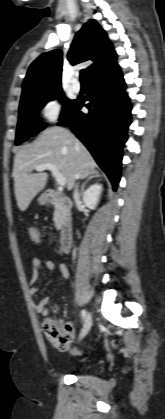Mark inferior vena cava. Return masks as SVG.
Segmentation results:
<instances>
[{
  "label": "inferior vena cava",
  "mask_w": 165,
  "mask_h": 419,
  "mask_svg": "<svg viewBox=\"0 0 165 419\" xmlns=\"http://www.w3.org/2000/svg\"><path fill=\"white\" fill-rule=\"evenodd\" d=\"M79 192H78V186H76L74 193H73V197L75 200H77L79 198Z\"/></svg>",
  "instance_id": "inferior-vena-cava-1"
}]
</instances>
